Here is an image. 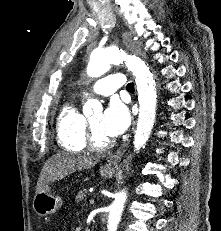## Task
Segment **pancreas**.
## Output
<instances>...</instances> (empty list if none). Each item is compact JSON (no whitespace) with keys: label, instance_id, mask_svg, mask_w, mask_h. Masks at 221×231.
Instances as JSON below:
<instances>
[{"label":"pancreas","instance_id":"cf45deb5","mask_svg":"<svg viewBox=\"0 0 221 231\" xmlns=\"http://www.w3.org/2000/svg\"><path fill=\"white\" fill-rule=\"evenodd\" d=\"M86 198H87V190L84 189V190H81L77 193V196L75 198V201L76 202H81V201H86Z\"/></svg>","mask_w":221,"mask_h":231}]
</instances>
